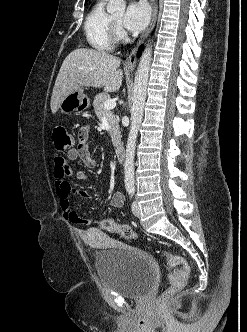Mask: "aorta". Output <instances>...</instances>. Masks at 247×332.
Masks as SVG:
<instances>
[{"mask_svg":"<svg viewBox=\"0 0 247 332\" xmlns=\"http://www.w3.org/2000/svg\"><path fill=\"white\" fill-rule=\"evenodd\" d=\"M124 0H113L107 7V11L112 15H123L125 12ZM152 49L146 47L140 59L133 90V105L131 108V127L129 131L126 154H125V187L134 189V154L137 135L143 118L144 105L146 100L147 83L151 65Z\"/></svg>","mask_w":247,"mask_h":332,"instance_id":"obj_1","label":"aorta"}]
</instances>
